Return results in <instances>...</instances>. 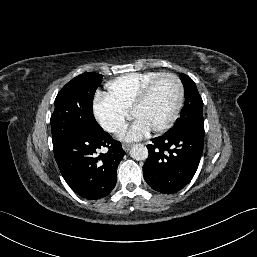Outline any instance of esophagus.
<instances>
[{"label": "esophagus", "mask_w": 257, "mask_h": 257, "mask_svg": "<svg viewBox=\"0 0 257 257\" xmlns=\"http://www.w3.org/2000/svg\"><path fill=\"white\" fill-rule=\"evenodd\" d=\"M122 147H123V149H124L125 151H128L129 148H130V144L124 143V144L122 145Z\"/></svg>", "instance_id": "1"}]
</instances>
